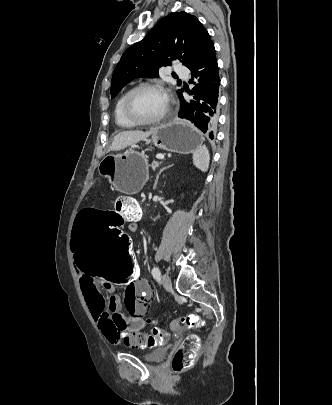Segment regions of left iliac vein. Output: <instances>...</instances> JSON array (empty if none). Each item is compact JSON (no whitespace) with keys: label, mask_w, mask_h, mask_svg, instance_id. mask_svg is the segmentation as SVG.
I'll return each mask as SVG.
<instances>
[{"label":"left iliac vein","mask_w":332,"mask_h":405,"mask_svg":"<svg viewBox=\"0 0 332 405\" xmlns=\"http://www.w3.org/2000/svg\"><path fill=\"white\" fill-rule=\"evenodd\" d=\"M162 284H163L164 288L167 290H169L171 288V286H172L171 278L168 274L162 275Z\"/></svg>","instance_id":"1"}]
</instances>
